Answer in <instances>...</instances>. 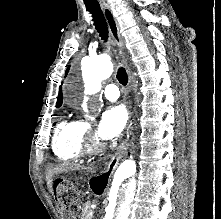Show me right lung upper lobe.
I'll return each instance as SVG.
<instances>
[{"instance_id": "obj_1", "label": "right lung upper lobe", "mask_w": 221, "mask_h": 219, "mask_svg": "<svg viewBox=\"0 0 221 219\" xmlns=\"http://www.w3.org/2000/svg\"><path fill=\"white\" fill-rule=\"evenodd\" d=\"M68 70H69V67H68V69H67V71H66L65 75H67ZM57 98H58V100H57L56 107H60V106H61V104H62V98H63V96H62V92H61V86H60V92H59V95H58V97H57Z\"/></svg>"}]
</instances>
